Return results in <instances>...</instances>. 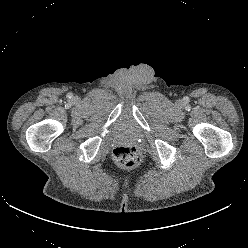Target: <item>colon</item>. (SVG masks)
Returning <instances> with one entry per match:
<instances>
[{
	"label": "colon",
	"mask_w": 248,
	"mask_h": 248,
	"mask_svg": "<svg viewBox=\"0 0 248 248\" xmlns=\"http://www.w3.org/2000/svg\"><path fill=\"white\" fill-rule=\"evenodd\" d=\"M114 162L122 168H134L141 162L140 153L131 146H120L113 151Z\"/></svg>",
	"instance_id": "5ec220e1"
}]
</instances>
